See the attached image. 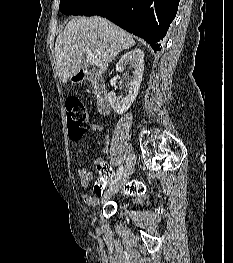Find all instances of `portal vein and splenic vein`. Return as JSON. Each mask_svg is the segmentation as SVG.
Returning a JSON list of instances; mask_svg holds the SVG:
<instances>
[{"label":"portal vein and splenic vein","mask_w":233,"mask_h":263,"mask_svg":"<svg viewBox=\"0 0 233 263\" xmlns=\"http://www.w3.org/2000/svg\"><path fill=\"white\" fill-rule=\"evenodd\" d=\"M87 62H89L92 65H99L100 62L98 59H96L93 55H87L86 57Z\"/></svg>","instance_id":"1"}]
</instances>
